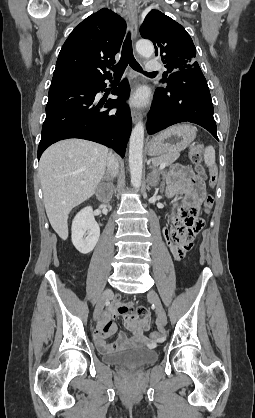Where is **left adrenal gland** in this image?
<instances>
[{
  "label": "left adrenal gland",
  "mask_w": 255,
  "mask_h": 418,
  "mask_svg": "<svg viewBox=\"0 0 255 418\" xmlns=\"http://www.w3.org/2000/svg\"><path fill=\"white\" fill-rule=\"evenodd\" d=\"M149 169H152V174L159 175L161 173L160 170H158L156 167H154L152 165H149ZM148 182L152 187H156V185H157V184H152L150 181H148Z\"/></svg>",
  "instance_id": "obj_1"
}]
</instances>
